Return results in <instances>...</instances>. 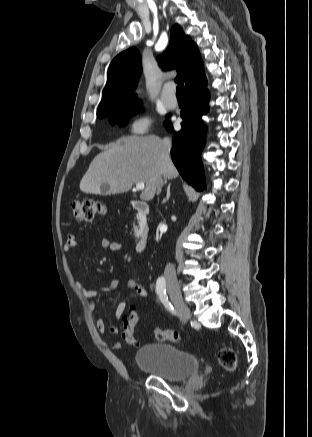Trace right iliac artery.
Returning <instances> with one entry per match:
<instances>
[{"label": "right iliac artery", "instance_id": "82829eb1", "mask_svg": "<svg viewBox=\"0 0 312 437\" xmlns=\"http://www.w3.org/2000/svg\"><path fill=\"white\" fill-rule=\"evenodd\" d=\"M156 293L160 299V301L165 305V307L169 311H173L174 308L171 303L168 301V297L166 294V280L164 277H159L156 282Z\"/></svg>", "mask_w": 312, "mask_h": 437}]
</instances>
